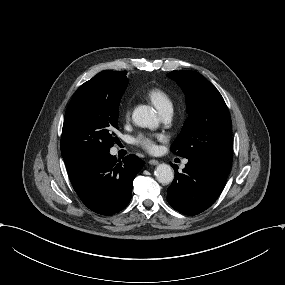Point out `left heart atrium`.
<instances>
[{
	"mask_svg": "<svg viewBox=\"0 0 285 285\" xmlns=\"http://www.w3.org/2000/svg\"><path fill=\"white\" fill-rule=\"evenodd\" d=\"M159 138H161L160 134L142 133L135 138V141L145 150L151 152L156 149L155 140Z\"/></svg>",
	"mask_w": 285,
	"mask_h": 285,
	"instance_id": "1",
	"label": "left heart atrium"
}]
</instances>
